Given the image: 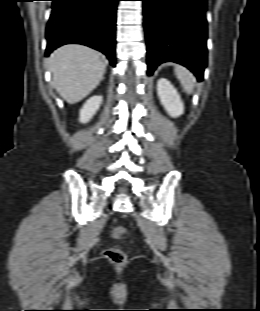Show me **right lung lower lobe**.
Listing matches in <instances>:
<instances>
[{
    "instance_id": "98d812e1",
    "label": "right lung lower lobe",
    "mask_w": 260,
    "mask_h": 311,
    "mask_svg": "<svg viewBox=\"0 0 260 311\" xmlns=\"http://www.w3.org/2000/svg\"><path fill=\"white\" fill-rule=\"evenodd\" d=\"M46 56L61 45L77 43L104 53L115 66V25L119 0H51Z\"/></svg>"
}]
</instances>
